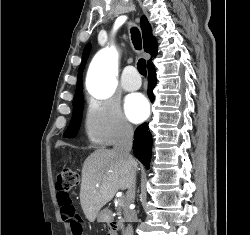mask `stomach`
Masks as SVG:
<instances>
[{
    "instance_id": "1",
    "label": "stomach",
    "mask_w": 250,
    "mask_h": 235,
    "mask_svg": "<svg viewBox=\"0 0 250 235\" xmlns=\"http://www.w3.org/2000/svg\"><path fill=\"white\" fill-rule=\"evenodd\" d=\"M108 220V212H106L105 210L101 211L98 214V221L99 222H105Z\"/></svg>"
}]
</instances>
